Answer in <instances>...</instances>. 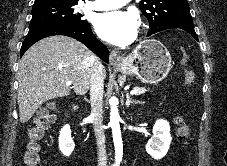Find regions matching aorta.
<instances>
[{"label":"aorta","instance_id":"aorta-1","mask_svg":"<svg viewBox=\"0 0 227 166\" xmlns=\"http://www.w3.org/2000/svg\"><path fill=\"white\" fill-rule=\"evenodd\" d=\"M117 104H118L117 100L115 98H111L110 125L112 127L113 140H114V146H115V161H116V164H119L123 156V143H122L121 131H120V125H119L120 115H119Z\"/></svg>","mask_w":227,"mask_h":166}]
</instances>
